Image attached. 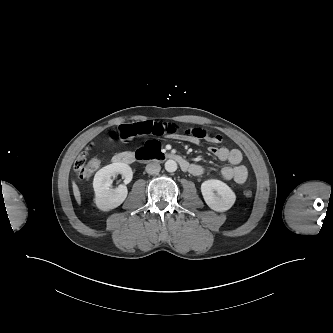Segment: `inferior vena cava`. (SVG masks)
I'll return each mask as SVG.
<instances>
[{
    "mask_svg": "<svg viewBox=\"0 0 333 333\" xmlns=\"http://www.w3.org/2000/svg\"><path fill=\"white\" fill-rule=\"evenodd\" d=\"M161 170V166L159 163H156V162H153V163H149L147 166H146V172L148 174H158Z\"/></svg>",
    "mask_w": 333,
    "mask_h": 333,
    "instance_id": "obj_1",
    "label": "inferior vena cava"
}]
</instances>
